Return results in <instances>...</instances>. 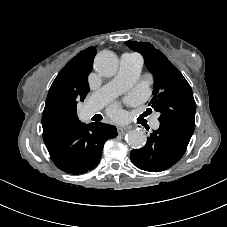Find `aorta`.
<instances>
[{
  "label": "aorta",
  "mask_w": 227,
  "mask_h": 227,
  "mask_svg": "<svg viewBox=\"0 0 227 227\" xmlns=\"http://www.w3.org/2000/svg\"><path fill=\"white\" fill-rule=\"evenodd\" d=\"M118 58L111 51H102L98 53L94 60V68L96 72L104 77L115 75L118 70ZM147 137L143 131L139 129L131 130L126 135V142L134 149H139L146 144Z\"/></svg>",
  "instance_id": "obj_1"
}]
</instances>
